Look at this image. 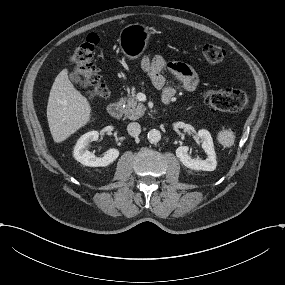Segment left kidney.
Listing matches in <instances>:
<instances>
[{"instance_id":"1","label":"left kidney","mask_w":285,"mask_h":285,"mask_svg":"<svg viewBox=\"0 0 285 285\" xmlns=\"http://www.w3.org/2000/svg\"><path fill=\"white\" fill-rule=\"evenodd\" d=\"M198 137L201 142V146L207 158L205 160H193L188 156L189 147L179 146L175 153L177 158L182 162L184 166L195 171H214L216 169V155L213 148L212 138L207 130H200Z\"/></svg>"}]
</instances>
